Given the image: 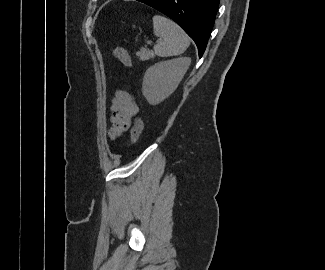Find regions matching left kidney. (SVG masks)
Instances as JSON below:
<instances>
[{"label": "left kidney", "instance_id": "left-kidney-1", "mask_svg": "<svg viewBox=\"0 0 325 270\" xmlns=\"http://www.w3.org/2000/svg\"><path fill=\"white\" fill-rule=\"evenodd\" d=\"M190 63V58L180 57L149 67L142 84V92L148 103L157 105L168 98L178 87Z\"/></svg>", "mask_w": 325, "mask_h": 270}]
</instances>
